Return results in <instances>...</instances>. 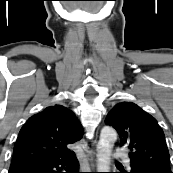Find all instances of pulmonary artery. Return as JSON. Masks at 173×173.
Listing matches in <instances>:
<instances>
[{"mask_svg": "<svg viewBox=\"0 0 173 173\" xmlns=\"http://www.w3.org/2000/svg\"><path fill=\"white\" fill-rule=\"evenodd\" d=\"M113 154H114L115 157H120V158L126 159V163L128 164L126 152H125L123 149H121V148H116V149L114 150V153H113Z\"/></svg>", "mask_w": 173, "mask_h": 173, "instance_id": "1", "label": "pulmonary artery"}]
</instances>
